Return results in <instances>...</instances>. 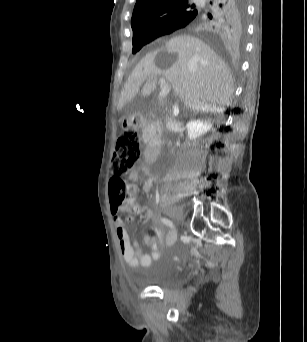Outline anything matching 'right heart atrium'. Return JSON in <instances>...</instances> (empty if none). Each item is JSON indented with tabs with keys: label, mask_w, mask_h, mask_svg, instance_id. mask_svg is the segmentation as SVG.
I'll return each instance as SVG.
<instances>
[{
	"label": "right heart atrium",
	"mask_w": 307,
	"mask_h": 342,
	"mask_svg": "<svg viewBox=\"0 0 307 342\" xmlns=\"http://www.w3.org/2000/svg\"><path fill=\"white\" fill-rule=\"evenodd\" d=\"M164 25L167 27V26H169V25H170V23H169V22H166Z\"/></svg>",
	"instance_id": "right-heart-atrium-1"
}]
</instances>
